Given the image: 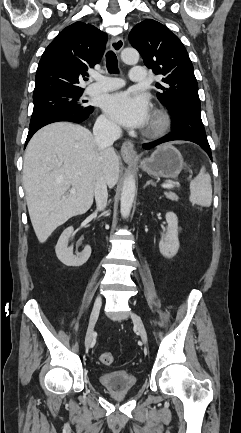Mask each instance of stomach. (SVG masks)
Listing matches in <instances>:
<instances>
[{
  "label": "stomach",
  "instance_id": "0dacf381",
  "mask_svg": "<svg viewBox=\"0 0 241 433\" xmlns=\"http://www.w3.org/2000/svg\"><path fill=\"white\" fill-rule=\"evenodd\" d=\"M183 157L171 144L159 146L150 157L140 161V167L154 177L176 178L183 169Z\"/></svg>",
  "mask_w": 241,
  "mask_h": 433
}]
</instances>
